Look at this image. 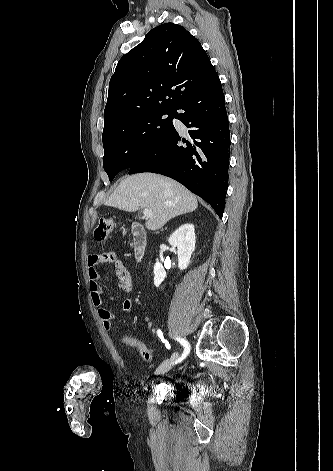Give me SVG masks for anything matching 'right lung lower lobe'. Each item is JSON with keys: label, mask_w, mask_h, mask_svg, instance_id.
<instances>
[{"label": "right lung lower lobe", "mask_w": 333, "mask_h": 471, "mask_svg": "<svg viewBox=\"0 0 333 471\" xmlns=\"http://www.w3.org/2000/svg\"><path fill=\"white\" fill-rule=\"evenodd\" d=\"M192 140L171 129L130 168L171 177L207 201L222 218L228 185L230 131L218 75L174 111Z\"/></svg>", "instance_id": "98d812e1"}]
</instances>
